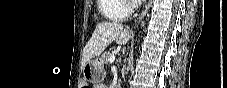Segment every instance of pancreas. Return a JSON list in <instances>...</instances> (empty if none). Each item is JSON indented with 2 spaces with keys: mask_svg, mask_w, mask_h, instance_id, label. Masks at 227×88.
<instances>
[{
  "mask_svg": "<svg viewBox=\"0 0 227 88\" xmlns=\"http://www.w3.org/2000/svg\"><path fill=\"white\" fill-rule=\"evenodd\" d=\"M113 54L111 52H105L103 55H102V59L105 63H108L109 62V59L110 57L112 56Z\"/></svg>",
  "mask_w": 227,
  "mask_h": 88,
  "instance_id": "obj_1",
  "label": "pancreas"
}]
</instances>
